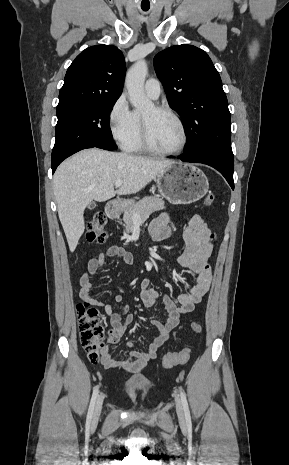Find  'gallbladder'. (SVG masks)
Here are the masks:
<instances>
[{"label":"gallbladder","mask_w":289,"mask_h":465,"mask_svg":"<svg viewBox=\"0 0 289 465\" xmlns=\"http://www.w3.org/2000/svg\"><path fill=\"white\" fill-rule=\"evenodd\" d=\"M95 206H96L95 202H91V203H89L88 208H89V209H92V208H94Z\"/></svg>","instance_id":"gallbladder-1"}]
</instances>
